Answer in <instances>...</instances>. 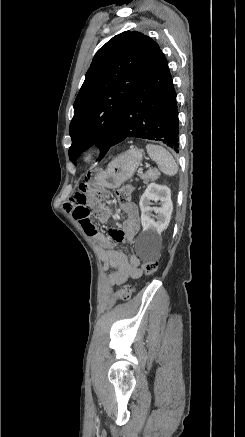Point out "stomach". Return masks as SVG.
Segmentation results:
<instances>
[{
  "instance_id": "obj_1",
  "label": "stomach",
  "mask_w": 245,
  "mask_h": 437,
  "mask_svg": "<svg viewBox=\"0 0 245 437\" xmlns=\"http://www.w3.org/2000/svg\"><path fill=\"white\" fill-rule=\"evenodd\" d=\"M142 160V151L132 148L118 157L109 165L105 172L93 171L87 176V183L93 189L118 188L132 177Z\"/></svg>"
}]
</instances>
